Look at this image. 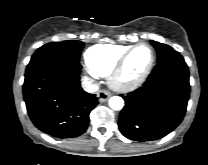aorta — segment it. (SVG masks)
<instances>
[{
  "label": "aorta",
  "mask_w": 208,
  "mask_h": 165,
  "mask_svg": "<svg viewBox=\"0 0 208 165\" xmlns=\"http://www.w3.org/2000/svg\"><path fill=\"white\" fill-rule=\"evenodd\" d=\"M109 106L115 111H119L124 106V100L119 96H113L109 99Z\"/></svg>",
  "instance_id": "obj_1"
}]
</instances>
